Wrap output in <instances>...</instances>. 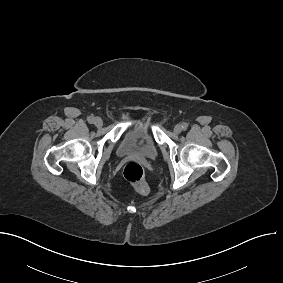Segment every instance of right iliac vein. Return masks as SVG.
<instances>
[{
  "mask_svg": "<svg viewBox=\"0 0 283 283\" xmlns=\"http://www.w3.org/2000/svg\"><path fill=\"white\" fill-rule=\"evenodd\" d=\"M93 123H94V125L96 127H101L103 125V121H102V119L100 117L94 118V122Z\"/></svg>",
  "mask_w": 283,
  "mask_h": 283,
  "instance_id": "63e3f726",
  "label": "right iliac vein"
}]
</instances>
